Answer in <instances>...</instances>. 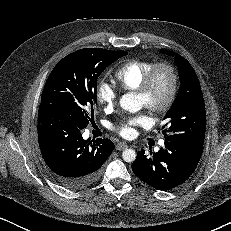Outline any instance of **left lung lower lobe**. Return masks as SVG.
Here are the masks:
<instances>
[{
	"label": "left lung lower lobe",
	"mask_w": 231,
	"mask_h": 231,
	"mask_svg": "<svg viewBox=\"0 0 231 231\" xmlns=\"http://www.w3.org/2000/svg\"><path fill=\"white\" fill-rule=\"evenodd\" d=\"M203 152L195 146L165 141L152 157L141 150L132 164L134 174L158 190H169L184 183L194 172ZM152 154V152H150Z\"/></svg>",
	"instance_id": "obj_1"
}]
</instances>
